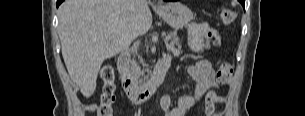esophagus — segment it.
I'll list each match as a JSON object with an SVG mask.
<instances>
[{
	"label": "esophagus",
	"instance_id": "1",
	"mask_svg": "<svg viewBox=\"0 0 305 116\" xmlns=\"http://www.w3.org/2000/svg\"><path fill=\"white\" fill-rule=\"evenodd\" d=\"M154 7L156 8V7H158V5H154Z\"/></svg>",
	"mask_w": 305,
	"mask_h": 116
}]
</instances>
